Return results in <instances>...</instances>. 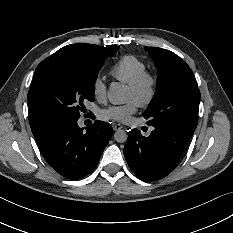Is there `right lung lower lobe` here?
<instances>
[{
    "instance_id": "obj_1",
    "label": "right lung lower lobe",
    "mask_w": 233,
    "mask_h": 233,
    "mask_svg": "<svg viewBox=\"0 0 233 233\" xmlns=\"http://www.w3.org/2000/svg\"><path fill=\"white\" fill-rule=\"evenodd\" d=\"M78 119H57L31 126L48 164L72 180L83 178L95 168L113 135L111 125L106 122L96 120L83 131Z\"/></svg>"
}]
</instances>
